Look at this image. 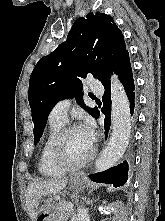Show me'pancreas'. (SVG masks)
<instances>
[{
	"mask_svg": "<svg viewBox=\"0 0 165 221\" xmlns=\"http://www.w3.org/2000/svg\"><path fill=\"white\" fill-rule=\"evenodd\" d=\"M66 204V201H60L56 204V210L58 211V214L56 215L61 221L68 219L73 213L72 209L69 208Z\"/></svg>",
	"mask_w": 165,
	"mask_h": 221,
	"instance_id": "cf45deb5",
	"label": "pancreas"
}]
</instances>
